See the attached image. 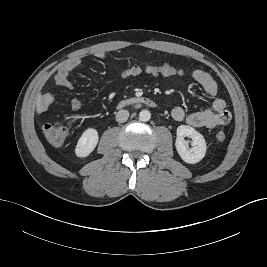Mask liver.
I'll return each mask as SVG.
<instances>
[{
  "mask_svg": "<svg viewBox=\"0 0 267 267\" xmlns=\"http://www.w3.org/2000/svg\"><path fill=\"white\" fill-rule=\"evenodd\" d=\"M37 108H38V112L41 113L42 112V95H40L38 98Z\"/></svg>",
  "mask_w": 267,
  "mask_h": 267,
  "instance_id": "obj_1",
  "label": "liver"
}]
</instances>
